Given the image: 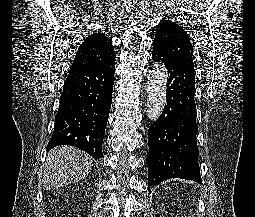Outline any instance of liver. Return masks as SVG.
Listing matches in <instances>:
<instances>
[{
    "label": "liver",
    "instance_id": "obj_1",
    "mask_svg": "<svg viewBox=\"0 0 255 217\" xmlns=\"http://www.w3.org/2000/svg\"><path fill=\"white\" fill-rule=\"evenodd\" d=\"M92 159L83 151L70 147L60 146L52 149L44 164L43 186L54 189L75 183L92 170Z\"/></svg>",
    "mask_w": 255,
    "mask_h": 217
}]
</instances>
